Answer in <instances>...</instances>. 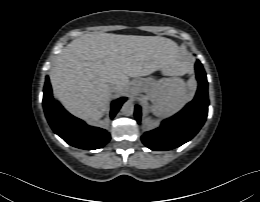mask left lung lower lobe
I'll use <instances>...</instances> for the list:
<instances>
[{"label": "left lung lower lobe", "mask_w": 260, "mask_h": 202, "mask_svg": "<svg viewBox=\"0 0 260 202\" xmlns=\"http://www.w3.org/2000/svg\"><path fill=\"white\" fill-rule=\"evenodd\" d=\"M196 76L199 82L193 101L188 103L179 113L162 122L161 126L145 132L141 140L151 150L165 151L181 146L191 140L203 126L208 112V82L202 64L197 60ZM135 118L141 120V108L136 105Z\"/></svg>", "instance_id": "0a47b994"}]
</instances>
